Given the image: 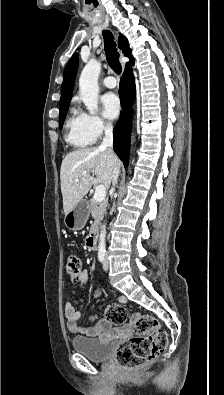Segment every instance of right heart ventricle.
Here are the masks:
<instances>
[{
    "mask_svg": "<svg viewBox=\"0 0 224 395\" xmlns=\"http://www.w3.org/2000/svg\"><path fill=\"white\" fill-rule=\"evenodd\" d=\"M66 141L76 148H85L94 142V138L86 130L79 113L73 111L66 122Z\"/></svg>",
    "mask_w": 224,
    "mask_h": 395,
    "instance_id": "right-heart-ventricle-1",
    "label": "right heart ventricle"
}]
</instances>
